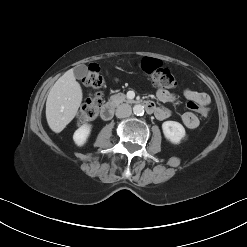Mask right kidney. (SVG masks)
<instances>
[{"mask_svg": "<svg viewBox=\"0 0 247 247\" xmlns=\"http://www.w3.org/2000/svg\"><path fill=\"white\" fill-rule=\"evenodd\" d=\"M91 125H83L78 128L73 135V140L77 146H83L91 133Z\"/></svg>", "mask_w": 247, "mask_h": 247, "instance_id": "obj_1", "label": "right kidney"}]
</instances>
